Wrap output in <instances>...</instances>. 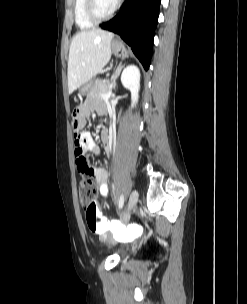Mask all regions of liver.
<instances>
[{
  "label": "liver",
  "mask_w": 247,
  "mask_h": 304,
  "mask_svg": "<svg viewBox=\"0 0 247 304\" xmlns=\"http://www.w3.org/2000/svg\"><path fill=\"white\" fill-rule=\"evenodd\" d=\"M113 37V33L101 29L83 30L73 37L67 72L70 94L90 81L109 62Z\"/></svg>",
  "instance_id": "6515ba94"
}]
</instances>
